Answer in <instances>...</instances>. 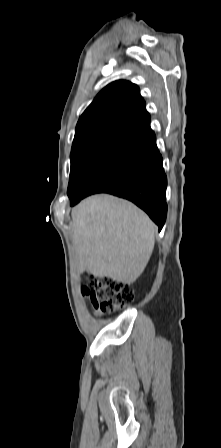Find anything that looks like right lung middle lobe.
Listing matches in <instances>:
<instances>
[{
    "label": "right lung middle lobe",
    "instance_id": "1",
    "mask_svg": "<svg viewBox=\"0 0 221 448\" xmlns=\"http://www.w3.org/2000/svg\"><path fill=\"white\" fill-rule=\"evenodd\" d=\"M113 144H92L71 150V171L67 194L74 199L84 182L114 147Z\"/></svg>",
    "mask_w": 221,
    "mask_h": 448
}]
</instances>
